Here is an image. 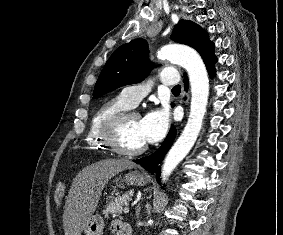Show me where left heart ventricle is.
Returning <instances> with one entry per match:
<instances>
[{
	"label": "left heart ventricle",
	"instance_id": "left-heart-ventricle-1",
	"mask_svg": "<svg viewBox=\"0 0 283 235\" xmlns=\"http://www.w3.org/2000/svg\"><path fill=\"white\" fill-rule=\"evenodd\" d=\"M118 141L126 149H137L145 144L140 131V118L131 117L122 125Z\"/></svg>",
	"mask_w": 283,
	"mask_h": 235
}]
</instances>
